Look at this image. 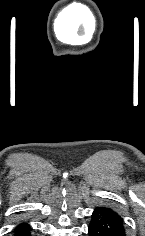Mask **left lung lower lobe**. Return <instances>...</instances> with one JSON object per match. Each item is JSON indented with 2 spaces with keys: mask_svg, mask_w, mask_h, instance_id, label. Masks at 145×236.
<instances>
[{
  "mask_svg": "<svg viewBox=\"0 0 145 236\" xmlns=\"http://www.w3.org/2000/svg\"><path fill=\"white\" fill-rule=\"evenodd\" d=\"M89 236H125L124 222L113 212L97 207L88 228Z\"/></svg>",
  "mask_w": 145,
  "mask_h": 236,
  "instance_id": "obj_1",
  "label": "left lung lower lobe"
}]
</instances>
